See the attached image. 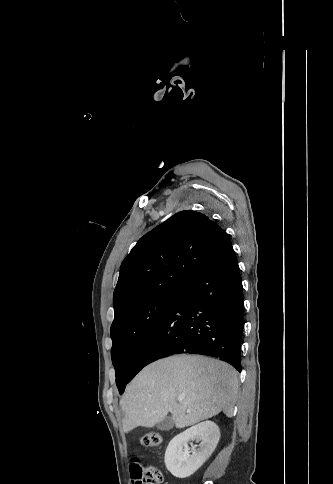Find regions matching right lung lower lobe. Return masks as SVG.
Returning <instances> with one entry per match:
<instances>
[{
  "label": "right lung lower lobe",
  "mask_w": 333,
  "mask_h": 484,
  "mask_svg": "<svg viewBox=\"0 0 333 484\" xmlns=\"http://www.w3.org/2000/svg\"><path fill=\"white\" fill-rule=\"evenodd\" d=\"M244 299L231 247L181 289L140 347L128 382L147 364L172 354L221 358L241 372Z\"/></svg>",
  "instance_id": "right-lung-lower-lobe-1"
}]
</instances>
